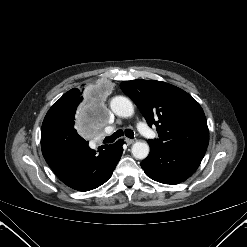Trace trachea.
<instances>
[{"label":"trachea","instance_id":"3493384b","mask_svg":"<svg viewBox=\"0 0 247 247\" xmlns=\"http://www.w3.org/2000/svg\"><path fill=\"white\" fill-rule=\"evenodd\" d=\"M125 134L126 137L133 139L134 138V132L131 129H125V131L122 130H118L116 131L113 135H111L110 137H106L104 139V143H111L113 142L115 139H117L120 136H123Z\"/></svg>","mask_w":247,"mask_h":247}]
</instances>
